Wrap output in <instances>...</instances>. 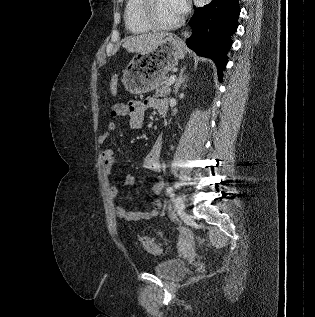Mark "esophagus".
I'll use <instances>...</instances> for the list:
<instances>
[{"instance_id":"esophagus-1","label":"esophagus","mask_w":315,"mask_h":317,"mask_svg":"<svg viewBox=\"0 0 315 317\" xmlns=\"http://www.w3.org/2000/svg\"><path fill=\"white\" fill-rule=\"evenodd\" d=\"M184 36H185V37L189 36V33H188V32H185V33H184Z\"/></svg>"}]
</instances>
